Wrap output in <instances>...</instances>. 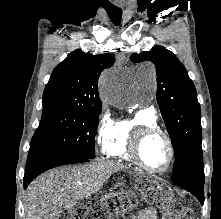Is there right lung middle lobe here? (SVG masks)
<instances>
[{"label": "right lung middle lobe", "mask_w": 221, "mask_h": 219, "mask_svg": "<svg viewBox=\"0 0 221 219\" xmlns=\"http://www.w3.org/2000/svg\"><path fill=\"white\" fill-rule=\"evenodd\" d=\"M43 108L30 150L45 146L72 156L87 159L95 157L94 138L101 107L81 108L54 104Z\"/></svg>", "instance_id": "right-lung-middle-lobe-1"}]
</instances>
